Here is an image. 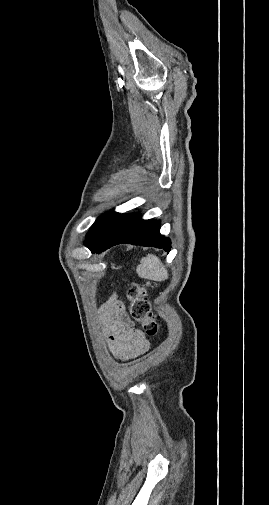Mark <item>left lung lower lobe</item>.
<instances>
[{"label": "left lung lower lobe", "instance_id": "0a47b994", "mask_svg": "<svg viewBox=\"0 0 269 505\" xmlns=\"http://www.w3.org/2000/svg\"><path fill=\"white\" fill-rule=\"evenodd\" d=\"M160 223L142 220L139 214H121L107 234L97 244L87 246L93 253H100L121 243L162 248L170 251L169 238L160 235Z\"/></svg>", "mask_w": 269, "mask_h": 505}]
</instances>
